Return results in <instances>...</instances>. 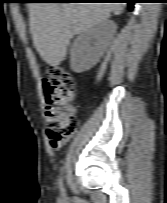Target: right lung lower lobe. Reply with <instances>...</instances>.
I'll list each match as a JSON object with an SVG mask.
<instances>
[{
  "label": "right lung lower lobe",
  "mask_w": 167,
  "mask_h": 203,
  "mask_svg": "<svg viewBox=\"0 0 167 203\" xmlns=\"http://www.w3.org/2000/svg\"><path fill=\"white\" fill-rule=\"evenodd\" d=\"M90 1H111V0H90ZM114 1H121V2L128 3L130 9H133L134 3L136 2V0H114Z\"/></svg>",
  "instance_id": "right-lung-lower-lobe-1"
}]
</instances>
